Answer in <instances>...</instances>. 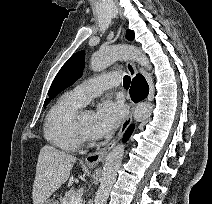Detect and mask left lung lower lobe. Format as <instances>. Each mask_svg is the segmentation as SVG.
<instances>
[{
	"label": "left lung lower lobe",
	"instance_id": "obj_1",
	"mask_svg": "<svg viewBox=\"0 0 212 204\" xmlns=\"http://www.w3.org/2000/svg\"><path fill=\"white\" fill-rule=\"evenodd\" d=\"M133 128H134V126H130L128 129H127V131H126V133H125V135H124V141H126L129 137H130V135H131V133H132V131H133Z\"/></svg>",
	"mask_w": 212,
	"mask_h": 204
}]
</instances>
